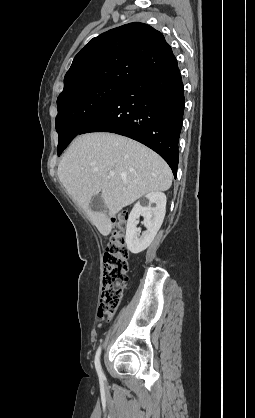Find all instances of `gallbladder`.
I'll use <instances>...</instances> for the list:
<instances>
[{"label":"gallbladder","instance_id":"bac80fb5","mask_svg":"<svg viewBox=\"0 0 255 418\" xmlns=\"http://www.w3.org/2000/svg\"><path fill=\"white\" fill-rule=\"evenodd\" d=\"M90 207L94 212H106L107 211V207L104 203L101 193L97 194L96 196L92 198Z\"/></svg>","mask_w":255,"mask_h":418}]
</instances>
